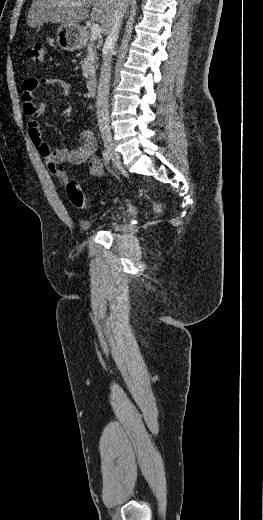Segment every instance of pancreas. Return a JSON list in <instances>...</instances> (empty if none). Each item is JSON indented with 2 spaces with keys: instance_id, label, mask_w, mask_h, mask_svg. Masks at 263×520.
I'll return each instance as SVG.
<instances>
[{
  "instance_id": "obj_1",
  "label": "pancreas",
  "mask_w": 263,
  "mask_h": 520,
  "mask_svg": "<svg viewBox=\"0 0 263 520\" xmlns=\"http://www.w3.org/2000/svg\"><path fill=\"white\" fill-rule=\"evenodd\" d=\"M85 47L87 48V54L82 60L81 66L83 71V76L85 78L93 77L95 75L96 70V62L98 60V56L96 53V46L93 40L88 37L85 40Z\"/></svg>"
}]
</instances>
